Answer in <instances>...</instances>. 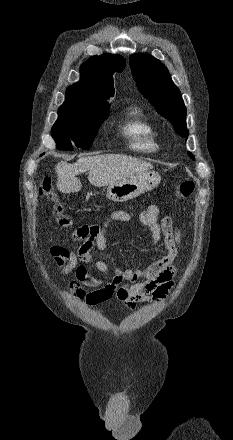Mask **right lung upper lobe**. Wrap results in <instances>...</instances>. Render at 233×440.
<instances>
[{
	"instance_id": "right-lung-upper-lobe-1",
	"label": "right lung upper lobe",
	"mask_w": 233,
	"mask_h": 440,
	"mask_svg": "<svg viewBox=\"0 0 233 440\" xmlns=\"http://www.w3.org/2000/svg\"><path fill=\"white\" fill-rule=\"evenodd\" d=\"M126 61L120 55L93 56L80 67L81 79L66 91L63 105L110 107L107 99L114 96V72H122Z\"/></svg>"
}]
</instances>
